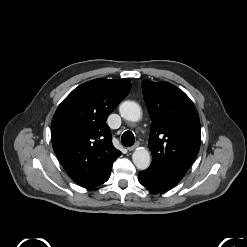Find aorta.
Returning a JSON list of instances; mask_svg holds the SVG:
<instances>
[{
    "instance_id": "762f6f07",
    "label": "aorta",
    "mask_w": 247,
    "mask_h": 247,
    "mask_svg": "<svg viewBox=\"0 0 247 247\" xmlns=\"http://www.w3.org/2000/svg\"><path fill=\"white\" fill-rule=\"evenodd\" d=\"M119 113L122 118L132 122H137L142 117L141 107L134 101L122 102L119 106ZM132 160L138 169L145 170L151 163L150 153L146 148L138 147L132 154Z\"/></svg>"
}]
</instances>
